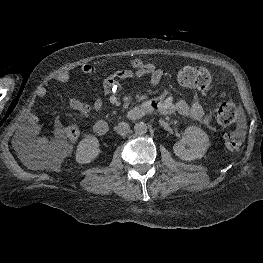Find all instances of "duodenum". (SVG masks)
<instances>
[{"instance_id":"1","label":"duodenum","mask_w":263,"mask_h":263,"mask_svg":"<svg viewBox=\"0 0 263 263\" xmlns=\"http://www.w3.org/2000/svg\"><path fill=\"white\" fill-rule=\"evenodd\" d=\"M149 112H151L150 106L147 105L146 103H142L130 109L126 116L129 120H137L142 118L144 115H146ZM93 129L96 134L103 136L109 132L110 125L105 120H98L94 124Z\"/></svg>"}]
</instances>
